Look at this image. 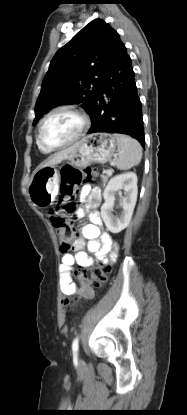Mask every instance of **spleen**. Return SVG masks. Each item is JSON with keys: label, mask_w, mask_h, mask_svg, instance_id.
Listing matches in <instances>:
<instances>
[{"label": "spleen", "mask_w": 187, "mask_h": 415, "mask_svg": "<svg viewBox=\"0 0 187 415\" xmlns=\"http://www.w3.org/2000/svg\"><path fill=\"white\" fill-rule=\"evenodd\" d=\"M113 136L118 145V158L114 162L115 166L120 170H126L138 165L142 159L140 143L127 135L116 133Z\"/></svg>", "instance_id": "1"}]
</instances>
